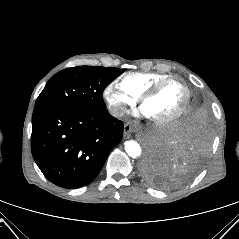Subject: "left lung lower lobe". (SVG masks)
<instances>
[{"instance_id":"0a47b994","label":"left lung lower lobe","mask_w":239,"mask_h":239,"mask_svg":"<svg viewBox=\"0 0 239 239\" xmlns=\"http://www.w3.org/2000/svg\"><path fill=\"white\" fill-rule=\"evenodd\" d=\"M210 142L207 109L194 102L181 120L149 147L142 166L145 178L163 189L189 181L203 165Z\"/></svg>"}]
</instances>
